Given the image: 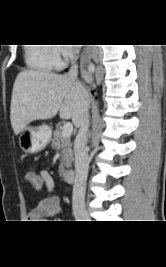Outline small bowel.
<instances>
[{"instance_id":"obj_1","label":"small bowel","mask_w":166,"mask_h":267,"mask_svg":"<svg viewBox=\"0 0 166 267\" xmlns=\"http://www.w3.org/2000/svg\"><path fill=\"white\" fill-rule=\"evenodd\" d=\"M39 177H43L45 189L52 192L55 188V182L52 176L47 171H41ZM61 199L58 195H51L41 200L28 215L29 220L32 222H43L50 217H59Z\"/></svg>"}]
</instances>
